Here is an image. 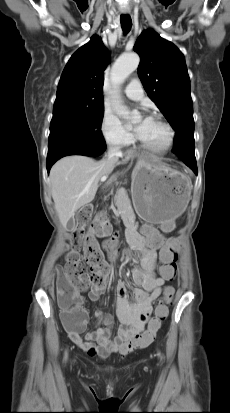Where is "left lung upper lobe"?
<instances>
[{
	"label": "left lung upper lobe",
	"mask_w": 230,
	"mask_h": 413,
	"mask_svg": "<svg viewBox=\"0 0 230 413\" xmlns=\"http://www.w3.org/2000/svg\"><path fill=\"white\" fill-rule=\"evenodd\" d=\"M138 75L150 97L175 130L174 149L182 161L195 159L193 103L185 57L170 41L149 29L135 45Z\"/></svg>",
	"instance_id": "obj_1"
}]
</instances>
